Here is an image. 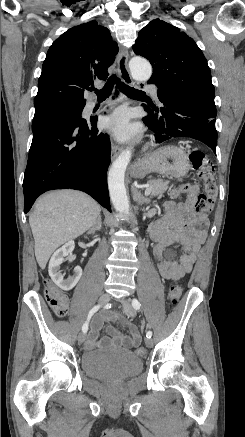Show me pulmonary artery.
<instances>
[{"mask_svg":"<svg viewBox=\"0 0 245 437\" xmlns=\"http://www.w3.org/2000/svg\"><path fill=\"white\" fill-rule=\"evenodd\" d=\"M145 89L150 91L156 98H157V94H158V90L154 85H146ZM96 102H90L87 104V109L91 110L96 106Z\"/></svg>","mask_w":245,"mask_h":437,"instance_id":"obj_1","label":"pulmonary artery"}]
</instances>
